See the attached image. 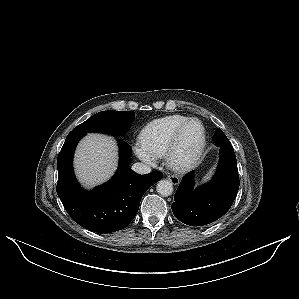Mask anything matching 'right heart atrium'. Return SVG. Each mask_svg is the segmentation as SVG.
I'll return each mask as SVG.
<instances>
[{"mask_svg":"<svg viewBox=\"0 0 299 299\" xmlns=\"http://www.w3.org/2000/svg\"><path fill=\"white\" fill-rule=\"evenodd\" d=\"M134 153L139 159L147 164L154 165L157 162V157L152 154L141 141L135 143Z\"/></svg>","mask_w":299,"mask_h":299,"instance_id":"obj_1","label":"right heart atrium"}]
</instances>
